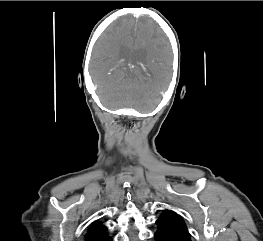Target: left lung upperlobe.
Segmentation results:
<instances>
[{"mask_svg": "<svg viewBox=\"0 0 263 241\" xmlns=\"http://www.w3.org/2000/svg\"><path fill=\"white\" fill-rule=\"evenodd\" d=\"M160 220L167 222L178 230L189 234L187 227L183 219L171 210H163L162 214L159 217Z\"/></svg>", "mask_w": 263, "mask_h": 241, "instance_id": "obj_1", "label": "left lung upper lobe"}]
</instances>
